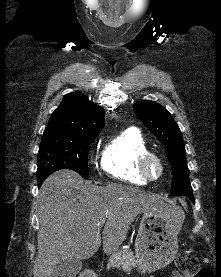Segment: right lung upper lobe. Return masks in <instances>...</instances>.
Segmentation results:
<instances>
[{"label":"right lung upper lobe","mask_w":221,"mask_h":277,"mask_svg":"<svg viewBox=\"0 0 221 277\" xmlns=\"http://www.w3.org/2000/svg\"><path fill=\"white\" fill-rule=\"evenodd\" d=\"M105 125V110L82 93L66 94L44 132H95Z\"/></svg>","instance_id":"right-lung-upper-lobe-1"}]
</instances>
